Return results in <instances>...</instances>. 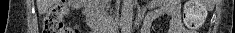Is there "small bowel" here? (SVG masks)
Masks as SVG:
<instances>
[{
  "mask_svg": "<svg viewBox=\"0 0 235 33\" xmlns=\"http://www.w3.org/2000/svg\"><path fill=\"white\" fill-rule=\"evenodd\" d=\"M180 6L179 0L152 1L144 14L141 33H150L153 22L162 16L169 18L168 33H193L185 28L181 22Z\"/></svg>",
  "mask_w": 235,
  "mask_h": 33,
  "instance_id": "c3829d8e",
  "label": "small bowel"
}]
</instances>
